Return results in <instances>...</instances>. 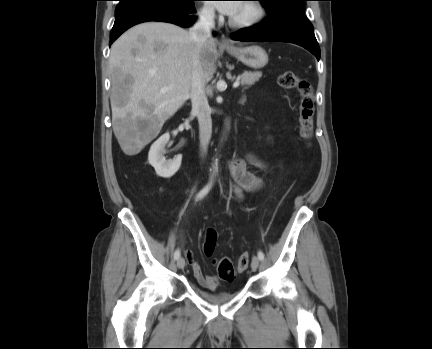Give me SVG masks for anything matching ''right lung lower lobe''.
<instances>
[{
	"mask_svg": "<svg viewBox=\"0 0 432 349\" xmlns=\"http://www.w3.org/2000/svg\"><path fill=\"white\" fill-rule=\"evenodd\" d=\"M194 1L174 4L164 0H137L118 7L111 30L109 46L128 28L148 21H162L182 27L191 26L196 17L188 14L195 11Z\"/></svg>",
	"mask_w": 432,
	"mask_h": 349,
	"instance_id": "right-lung-lower-lobe-1",
	"label": "right lung lower lobe"
}]
</instances>
